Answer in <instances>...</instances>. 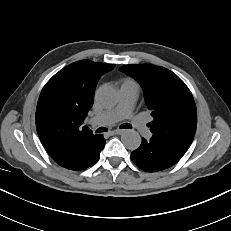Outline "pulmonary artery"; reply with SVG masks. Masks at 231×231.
Instances as JSON below:
<instances>
[{
    "label": "pulmonary artery",
    "mask_w": 231,
    "mask_h": 231,
    "mask_svg": "<svg viewBox=\"0 0 231 231\" xmlns=\"http://www.w3.org/2000/svg\"><path fill=\"white\" fill-rule=\"evenodd\" d=\"M138 92V86H122L119 104L113 109L95 115L90 119V123L95 126H109L127 118L143 137L149 138L151 136L149 128L139 116L133 114Z\"/></svg>",
    "instance_id": "obj_1"
}]
</instances>
